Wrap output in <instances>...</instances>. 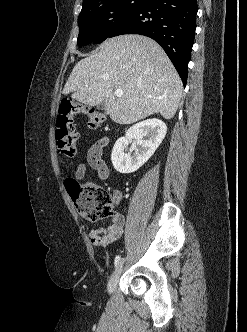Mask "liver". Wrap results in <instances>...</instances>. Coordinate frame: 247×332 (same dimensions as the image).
Here are the masks:
<instances>
[{
    "instance_id": "1",
    "label": "liver",
    "mask_w": 247,
    "mask_h": 332,
    "mask_svg": "<svg viewBox=\"0 0 247 332\" xmlns=\"http://www.w3.org/2000/svg\"><path fill=\"white\" fill-rule=\"evenodd\" d=\"M121 89L123 95L114 94ZM182 82L163 49L140 35L107 39L99 51L80 60L63 90L89 106L104 102L105 114L118 124H132L152 114L174 117Z\"/></svg>"
}]
</instances>
